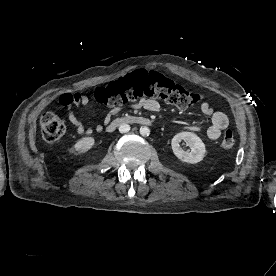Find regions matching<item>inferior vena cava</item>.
<instances>
[{
	"instance_id": "inferior-vena-cava-1",
	"label": "inferior vena cava",
	"mask_w": 276,
	"mask_h": 276,
	"mask_svg": "<svg viewBox=\"0 0 276 276\" xmlns=\"http://www.w3.org/2000/svg\"><path fill=\"white\" fill-rule=\"evenodd\" d=\"M130 130V126L128 124H121L119 127L120 133H126Z\"/></svg>"
}]
</instances>
